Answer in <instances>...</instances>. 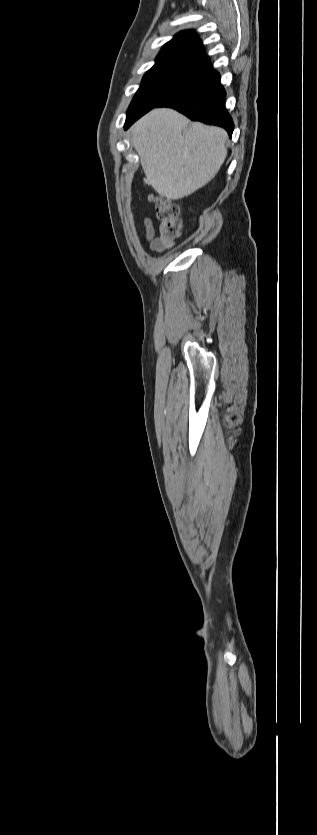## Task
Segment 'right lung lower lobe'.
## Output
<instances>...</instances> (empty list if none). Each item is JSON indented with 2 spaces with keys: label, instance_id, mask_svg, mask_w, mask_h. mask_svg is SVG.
Masks as SVG:
<instances>
[{
  "label": "right lung lower lobe",
  "instance_id": "obj_1",
  "mask_svg": "<svg viewBox=\"0 0 317 835\" xmlns=\"http://www.w3.org/2000/svg\"><path fill=\"white\" fill-rule=\"evenodd\" d=\"M191 61L206 81L168 99L157 107H171L191 120L220 126L231 137L234 124L225 107L226 92L220 83L219 73L213 70L209 58L204 55L193 58Z\"/></svg>",
  "mask_w": 317,
  "mask_h": 835
}]
</instances>
